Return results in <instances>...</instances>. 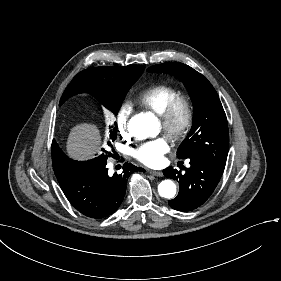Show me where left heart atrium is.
Returning a JSON list of instances; mask_svg holds the SVG:
<instances>
[{"label":"left heart atrium","mask_w":281,"mask_h":281,"mask_svg":"<svg viewBox=\"0 0 281 281\" xmlns=\"http://www.w3.org/2000/svg\"><path fill=\"white\" fill-rule=\"evenodd\" d=\"M169 150L167 140L163 137L143 143L133 150V157L150 167L160 166L164 162V154Z\"/></svg>","instance_id":"39dd6f15"}]
</instances>
